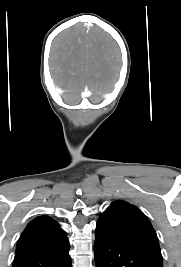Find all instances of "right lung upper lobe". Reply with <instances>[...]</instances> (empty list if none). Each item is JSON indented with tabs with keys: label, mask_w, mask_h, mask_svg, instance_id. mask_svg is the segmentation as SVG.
<instances>
[{
	"label": "right lung upper lobe",
	"mask_w": 181,
	"mask_h": 267,
	"mask_svg": "<svg viewBox=\"0 0 181 267\" xmlns=\"http://www.w3.org/2000/svg\"><path fill=\"white\" fill-rule=\"evenodd\" d=\"M67 248L69 242L59 224L50 217L39 216L21 234L15 256L56 253Z\"/></svg>",
	"instance_id": "obj_1"
}]
</instances>
